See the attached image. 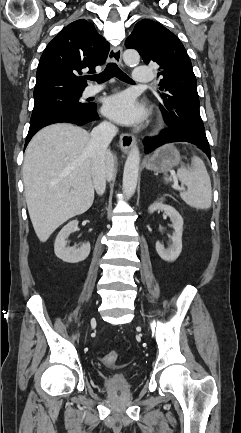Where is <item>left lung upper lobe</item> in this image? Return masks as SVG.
I'll use <instances>...</instances> for the list:
<instances>
[{"instance_id":"1","label":"left lung upper lobe","mask_w":241,"mask_h":433,"mask_svg":"<svg viewBox=\"0 0 241 433\" xmlns=\"http://www.w3.org/2000/svg\"><path fill=\"white\" fill-rule=\"evenodd\" d=\"M145 64L158 65L160 109L170 128L186 131L208 141L199 111L197 81L187 52L179 39L158 22H138L125 41Z\"/></svg>"}]
</instances>
